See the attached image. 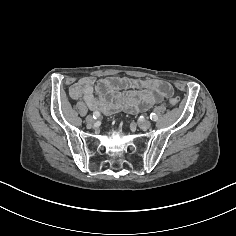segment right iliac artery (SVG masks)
I'll use <instances>...</instances> for the list:
<instances>
[{"mask_svg":"<svg viewBox=\"0 0 236 236\" xmlns=\"http://www.w3.org/2000/svg\"><path fill=\"white\" fill-rule=\"evenodd\" d=\"M99 116H100V113H99V112H94V113H93V118H94V119L99 118Z\"/></svg>","mask_w":236,"mask_h":236,"instance_id":"obj_1","label":"right iliac artery"}]
</instances>
